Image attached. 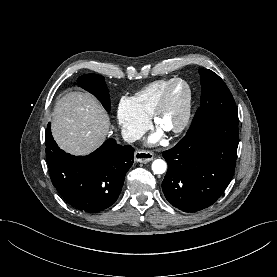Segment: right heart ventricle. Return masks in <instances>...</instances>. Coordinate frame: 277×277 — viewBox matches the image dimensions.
Instances as JSON below:
<instances>
[{"label": "right heart ventricle", "instance_id": "obj_1", "mask_svg": "<svg viewBox=\"0 0 277 277\" xmlns=\"http://www.w3.org/2000/svg\"><path fill=\"white\" fill-rule=\"evenodd\" d=\"M173 79H161L149 83L131 98L137 111L150 118L163 89Z\"/></svg>", "mask_w": 277, "mask_h": 277}]
</instances>
